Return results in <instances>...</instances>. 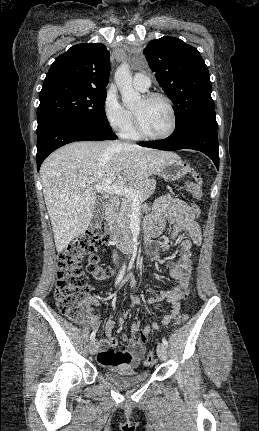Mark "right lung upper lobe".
Returning <instances> with one entry per match:
<instances>
[{
    "label": "right lung upper lobe",
    "mask_w": 259,
    "mask_h": 431,
    "mask_svg": "<svg viewBox=\"0 0 259 431\" xmlns=\"http://www.w3.org/2000/svg\"><path fill=\"white\" fill-rule=\"evenodd\" d=\"M109 57V51L101 43L72 46L55 59L40 93L56 85L106 90L110 73Z\"/></svg>",
    "instance_id": "cb5924a9"
}]
</instances>
